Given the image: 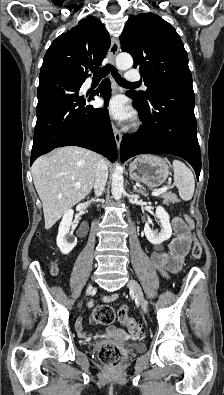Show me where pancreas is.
<instances>
[{
    "label": "pancreas",
    "mask_w": 224,
    "mask_h": 395,
    "mask_svg": "<svg viewBox=\"0 0 224 395\" xmlns=\"http://www.w3.org/2000/svg\"><path fill=\"white\" fill-rule=\"evenodd\" d=\"M160 197L163 198L164 204L176 203L179 201L177 196L171 192L163 193Z\"/></svg>",
    "instance_id": "obj_1"
}]
</instances>
